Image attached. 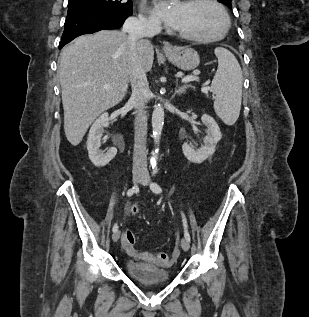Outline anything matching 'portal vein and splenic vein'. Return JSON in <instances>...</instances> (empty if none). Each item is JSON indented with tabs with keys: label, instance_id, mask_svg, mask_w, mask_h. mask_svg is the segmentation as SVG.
I'll list each match as a JSON object with an SVG mask.
<instances>
[{
	"label": "portal vein and splenic vein",
	"instance_id": "obj_1",
	"mask_svg": "<svg viewBox=\"0 0 309 317\" xmlns=\"http://www.w3.org/2000/svg\"><path fill=\"white\" fill-rule=\"evenodd\" d=\"M199 73H200V71H197V74H199ZM191 81H199V78L197 76H194V75H189V76H186L182 79L183 83H187V82H191ZM106 90H108V88H106ZM202 91L206 93L208 91V87H203Z\"/></svg>",
	"mask_w": 309,
	"mask_h": 317
}]
</instances>
